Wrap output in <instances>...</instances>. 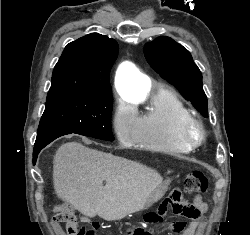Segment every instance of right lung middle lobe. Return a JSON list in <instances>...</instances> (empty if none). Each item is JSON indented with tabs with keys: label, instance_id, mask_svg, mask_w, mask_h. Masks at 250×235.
<instances>
[{
	"label": "right lung middle lobe",
	"instance_id": "1",
	"mask_svg": "<svg viewBox=\"0 0 250 235\" xmlns=\"http://www.w3.org/2000/svg\"><path fill=\"white\" fill-rule=\"evenodd\" d=\"M111 91L103 93H64L47 97L38 133L67 131L113 141L111 132Z\"/></svg>",
	"mask_w": 250,
	"mask_h": 235
}]
</instances>
